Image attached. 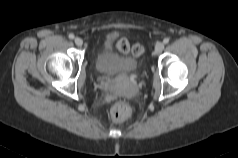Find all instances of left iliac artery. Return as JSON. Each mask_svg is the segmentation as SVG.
<instances>
[{
	"label": "left iliac artery",
	"mask_w": 238,
	"mask_h": 158,
	"mask_svg": "<svg viewBox=\"0 0 238 158\" xmlns=\"http://www.w3.org/2000/svg\"><path fill=\"white\" fill-rule=\"evenodd\" d=\"M163 43H164V44L169 43V38H165V39L163 40Z\"/></svg>",
	"instance_id": "obj_1"
}]
</instances>
